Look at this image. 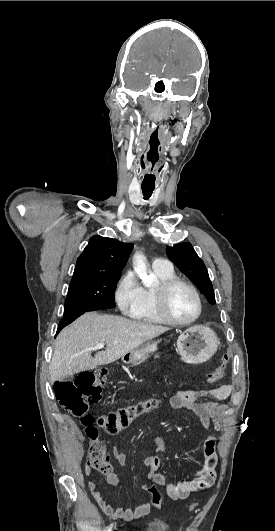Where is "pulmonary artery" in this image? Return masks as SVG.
Masks as SVG:
<instances>
[{"mask_svg": "<svg viewBox=\"0 0 275 531\" xmlns=\"http://www.w3.org/2000/svg\"><path fill=\"white\" fill-rule=\"evenodd\" d=\"M152 270L153 272H170L171 263L170 261H153Z\"/></svg>", "mask_w": 275, "mask_h": 531, "instance_id": "obj_1", "label": "pulmonary artery"}]
</instances>
